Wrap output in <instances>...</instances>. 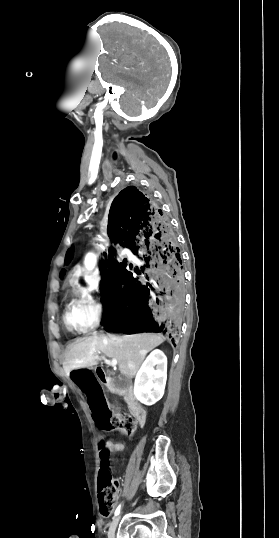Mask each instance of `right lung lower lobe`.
I'll return each mask as SVG.
<instances>
[{"label": "right lung lower lobe", "mask_w": 279, "mask_h": 538, "mask_svg": "<svg viewBox=\"0 0 279 538\" xmlns=\"http://www.w3.org/2000/svg\"><path fill=\"white\" fill-rule=\"evenodd\" d=\"M108 235L138 261L129 271L112 248L104 254V330L175 334L185 312V278L180 249L159 205L134 186L123 189L110 208Z\"/></svg>", "instance_id": "1"}]
</instances>
